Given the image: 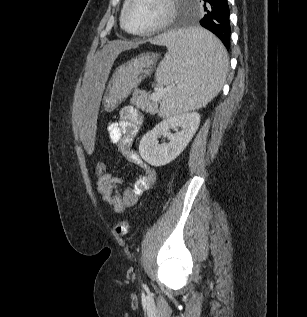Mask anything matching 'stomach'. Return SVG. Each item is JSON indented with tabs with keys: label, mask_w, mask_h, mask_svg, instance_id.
<instances>
[{
	"label": "stomach",
	"mask_w": 307,
	"mask_h": 317,
	"mask_svg": "<svg viewBox=\"0 0 307 317\" xmlns=\"http://www.w3.org/2000/svg\"><path fill=\"white\" fill-rule=\"evenodd\" d=\"M157 55L144 53L119 66L103 98L105 110L114 109L152 71Z\"/></svg>",
	"instance_id": "0dacf381"
}]
</instances>
